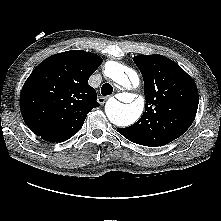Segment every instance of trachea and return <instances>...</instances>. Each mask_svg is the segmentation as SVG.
Masks as SVG:
<instances>
[{"label":"trachea","instance_id":"3493384b","mask_svg":"<svg viewBox=\"0 0 221 221\" xmlns=\"http://www.w3.org/2000/svg\"><path fill=\"white\" fill-rule=\"evenodd\" d=\"M112 92H113V87L111 84H109V83L103 84V86L101 88V94L103 96L111 95Z\"/></svg>","mask_w":221,"mask_h":221}]
</instances>
